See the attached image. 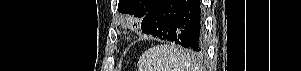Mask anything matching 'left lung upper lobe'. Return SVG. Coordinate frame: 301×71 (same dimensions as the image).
<instances>
[{
	"label": "left lung upper lobe",
	"instance_id": "obj_1",
	"mask_svg": "<svg viewBox=\"0 0 301 71\" xmlns=\"http://www.w3.org/2000/svg\"><path fill=\"white\" fill-rule=\"evenodd\" d=\"M158 0H119L118 11L138 18H144Z\"/></svg>",
	"mask_w": 301,
	"mask_h": 71
}]
</instances>
